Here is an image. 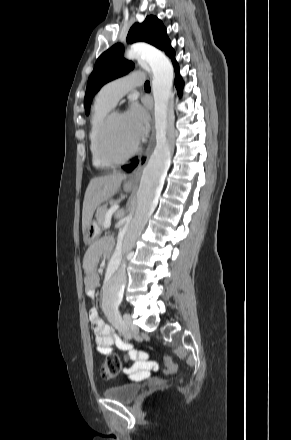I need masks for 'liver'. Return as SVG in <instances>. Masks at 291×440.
<instances>
[{"label": "liver", "mask_w": 291, "mask_h": 440, "mask_svg": "<svg viewBox=\"0 0 291 440\" xmlns=\"http://www.w3.org/2000/svg\"><path fill=\"white\" fill-rule=\"evenodd\" d=\"M125 178L126 175L124 173L116 172L101 177H95L90 180L83 201V233L90 225L96 208L117 193L120 188L121 182Z\"/></svg>", "instance_id": "6515ba94"}]
</instances>
